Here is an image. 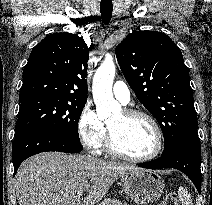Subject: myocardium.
I'll use <instances>...</instances> for the list:
<instances>
[{
    "label": "myocardium",
    "instance_id": "obj_1",
    "mask_svg": "<svg viewBox=\"0 0 212 205\" xmlns=\"http://www.w3.org/2000/svg\"><path fill=\"white\" fill-rule=\"evenodd\" d=\"M123 114L127 117H141L150 124L152 131H153V135H154V146H153L152 150L145 155H141V156L127 155L117 148V146L115 145L112 133L108 127V137H107L108 151L112 155H114L122 160L134 162V163L147 162V161H150V160H153L154 158H156L160 154L162 147H163L162 132H161L160 126H159L158 122L156 121V119L151 114H149L145 111H142V110L126 109L123 111Z\"/></svg>",
    "mask_w": 212,
    "mask_h": 205
}]
</instances>
